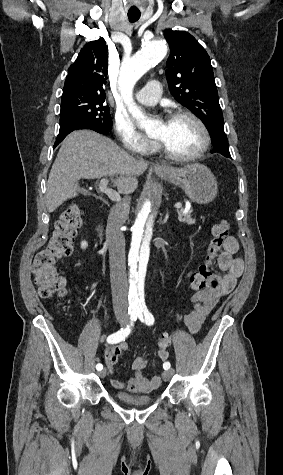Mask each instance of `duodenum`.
I'll return each mask as SVG.
<instances>
[{
	"mask_svg": "<svg viewBox=\"0 0 283 475\" xmlns=\"http://www.w3.org/2000/svg\"><path fill=\"white\" fill-rule=\"evenodd\" d=\"M96 232H97V236H98L99 240L101 242H104L105 241V229H104L103 221L101 219L98 220V222H97Z\"/></svg>",
	"mask_w": 283,
	"mask_h": 475,
	"instance_id": "duodenum-1",
	"label": "duodenum"
}]
</instances>
